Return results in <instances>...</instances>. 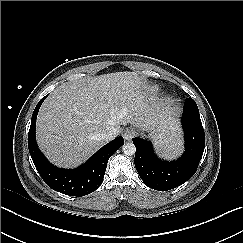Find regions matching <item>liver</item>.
<instances>
[{"mask_svg":"<svg viewBox=\"0 0 243 243\" xmlns=\"http://www.w3.org/2000/svg\"><path fill=\"white\" fill-rule=\"evenodd\" d=\"M144 89L139 75L128 71L59 86L38 113L36 135L40 149L53 164L72 168L108 142L102 134L111 128L119 133L120 125L148 128L159 123L168 135L166 141L177 136L176 120L154 112Z\"/></svg>","mask_w":243,"mask_h":243,"instance_id":"6515ba94","label":"liver"}]
</instances>
